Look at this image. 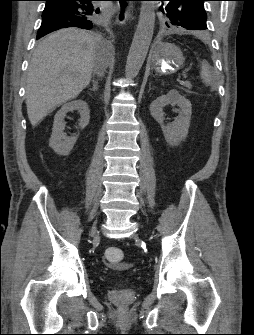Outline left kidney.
Listing matches in <instances>:
<instances>
[{
	"mask_svg": "<svg viewBox=\"0 0 254 335\" xmlns=\"http://www.w3.org/2000/svg\"><path fill=\"white\" fill-rule=\"evenodd\" d=\"M168 104L179 106L180 111L172 123L164 125L163 108ZM150 113L161 125L165 140L170 146H177L181 141L185 140L190 126L192 105L178 91L171 90L167 95H162L154 100L150 105Z\"/></svg>",
	"mask_w": 254,
	"mask_h": 335,
	"instance_id": "1",
	"label": "left kidney"
}]
</instances>
